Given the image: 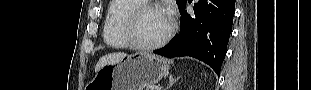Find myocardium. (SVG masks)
Segmentation results:
<instances>
[{"instance_id": "1", "label": "myocardium", "mask_w": 311, "mask_h": 90, "mask_svg": "<svg viewBox=\"0 0 311 90\" xmlns=\"http://www.w3.org/2000/svg\"><path fill=\"white\" fill-rule=\"evenodd\" d=\"M160 7L156 4H142L133 9L127 16L124 24V33L131 47L141 51H151L160 48L166 44L172 37L175 31V23L171 21L169 30L167 33L158 41L150 44L143 43L138 38V24L141 16L149 10H157Z\"/></svg>"}]
</instances>
